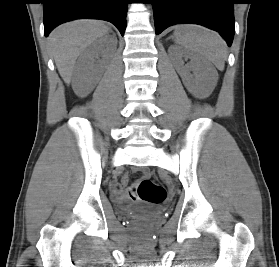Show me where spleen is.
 <instances>
[{"label":"spleen","instance_id":"1","mask_svg":"<svg viewBox=\"0 0 279 267\" xmlns=\"http://www.w3.org/2000/svg\"><path fill=\"white\" fill-rule=\"evenodd\" d=\"M175 42L199 54L218 70H223L227 58L225 41L215 32L197 25H182L175 28Z\"/></svg>","mask_w":279,"mask_h":267}]
</instances>
